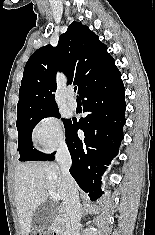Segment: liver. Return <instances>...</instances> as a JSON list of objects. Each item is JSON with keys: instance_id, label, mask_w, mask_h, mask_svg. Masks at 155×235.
I'll return each mask as SVG.
<instances>
[{"instance_id": "obj_1", "label": "liver", "mask_w": 155, "mask_h": 235, "mask_svg": "<svg viewBox=\"0 0 155 235\" xmlns=\"http://www.w3.org/2000/svg\"><path fill=\"white\" fill-rule=\"evenodd\" d=\"M14 191L22 235H29L36 210L47 200V191L59 194L62 200L59 215L65 216V191L61 169L57 163L29 162L18 164L14 172Z\"/></svg>"}]
</instances>
